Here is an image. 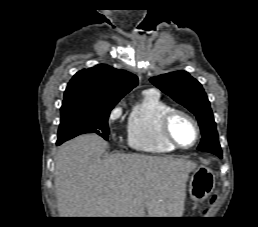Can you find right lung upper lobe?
Returning <instances> with one entry per match:
<instances>
[{"mask_svg":"<svg viewBox=\"0 0 258 227\" xmlns=\"http://www.w3.org/2000/svg\"><path fill=\"white\" fill-rule=\"evenodd\" d=\"M138 85L136 75L100 64L77 72L65 90L64 101L78 100L95 105H116Z\"/></svg>","mask_w":258,"mask_h":227,"instance_id":"right-lung-upper-lobe-1","label":"right lung upper lobe"}]
</instances>
